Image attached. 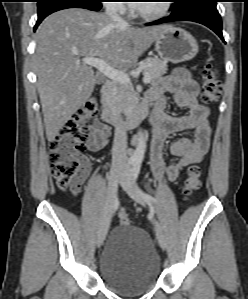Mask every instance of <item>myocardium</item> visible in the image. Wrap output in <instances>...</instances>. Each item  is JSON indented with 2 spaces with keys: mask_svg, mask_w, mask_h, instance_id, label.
Listing matches in <instances>:
<instances>
[{
  "mask_svg": "<svg viewBox=\"0 0 248 299\" xmlns=\"http://www.w3.org/2000/svg\"><path fill=\"white\" fill-rule=\"evenodd\" d=\"M171 10V3L169 0H161L158 8L150 11H144L140 9V6L135 8L136 14L142 19L148 21H155L165 17Z\"/></svg>",
  "mask_w": 248,
  "mask_h": 299,
  "instance_id": "f54148a6",
  "label": "myocardium"
}]
</instances>
